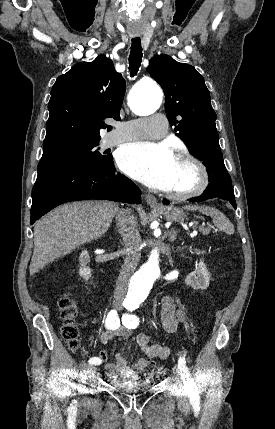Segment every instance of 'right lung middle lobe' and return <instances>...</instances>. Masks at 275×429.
I'll list each match as a JSON object with an SVG mask.
<instances>
[{
    "label": "right lung middle lobe",
    "instance_id": "right-lung-middle-lobe-1",
    "mask_svg": "<svg viewBox=\"0 0 275 429\" xmlns=\"http://www.w3.org/2000/svg\"><path fill=\"white\" fill-rule=\"evenodd\" d=\"M97 145L98 142L72 145L55 153L42 156L37 167V178L67 169L101 168L113 165L112 155L101 154L96 149Z\"/></svg>",
    "mask_w": 275,
    "mask_h": 429
}]
</instances>
